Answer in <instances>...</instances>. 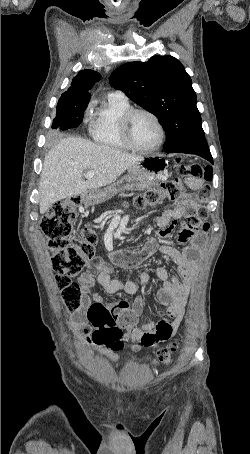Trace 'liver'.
Instances as JSON below:
<instances>
[{"mask_svg":"<svg viewBox=\"0 0 250 454\" xmlns=\"http://www.w3.org/2000/svg\"><path fill=\"white\" fill-rule=\"evenodd\" d=\"M144 160L80 137L62 139L45 156L39 183L40 213L55 202L114 183L132 165ZM85 170L94 171L84 180Z\"/></svg>","mask_w":250,"mask_h":454,"instance_id":"6515ba94","label":"liver"}]
</instances>
